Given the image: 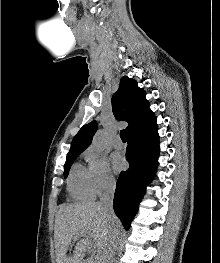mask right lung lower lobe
<instances>
[{
    "label": "right lung lower lobe",
    "mask_w": 220,
    "mask_h": 263,
    "mask_svg": "<svg viewBox=\"0 0 220 263\" xmlns=\"http://www.w3.org/2000/svg\"><path fill=\"white\" fill-rule=\"evenodd\" d=\"M126 160L116 184L113 207L124 228H130L146 186L153 178L159 155L157 126L127 137Z\"/></svg>",
    "instance_id": "98d812e1"
}]
</instances>
